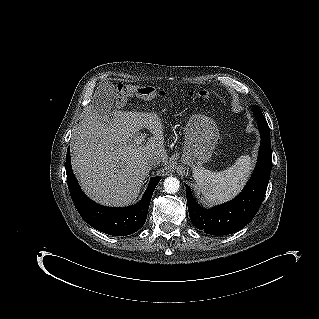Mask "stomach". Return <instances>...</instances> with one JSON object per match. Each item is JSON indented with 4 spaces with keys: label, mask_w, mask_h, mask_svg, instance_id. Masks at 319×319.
Segmentation results:
<instances>
[{
    "label": "stomach",
    "mask_w": 319,
    "mask_h": 319,
    "mask_svg": "<svg viewBox=\"0 0 319 319\" xmlns=\"http://www.w3.org/2000/svg\"><path fill=\"white\" fill-rule=\"evenodd\" d=\"M219 130L215 122L205 115L192 116L185 128L182 163L192 168L207 163L215 149Z\"/></svg>",
    "instance_id": "obj_1"
}]
</instances>
